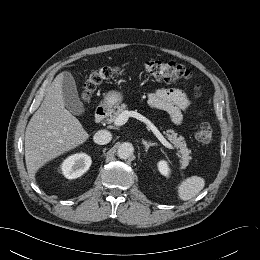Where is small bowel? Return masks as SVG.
Masks as SVG:
<instances>
[{
  "instance_id": "c3829d8e",
  "label": "small bowel",
  "mask_w": 260,
  "mask_h": 260,
  "mask_svg": "<svg viewBox=\"0 0 260 260\" xmlns=\"http://www.w3.org/2000/svg\"><path fill=\"white\" fill-rule=\"evenodd\" d=\"M148 102L154 108L165 110L175 125L181 124L183 112H186L190 105L185 93L173 88H161L151 92Z\"/></svg>"
}]
</instances>
